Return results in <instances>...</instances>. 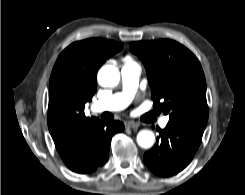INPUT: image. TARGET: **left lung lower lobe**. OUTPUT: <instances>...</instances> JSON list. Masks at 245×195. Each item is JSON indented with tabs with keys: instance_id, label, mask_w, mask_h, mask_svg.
Masks as SVG:
<instances>
[{
	"instance_id": "1",
	"label": "left lung lower lobe",
	"mask_w": 245,
	"mask_h": 195,
	"mask_svg": "<svg viewBox=\"0 0 245 195\" xmlns=\"http://www.w3.org/2000/svg\"><path fill=\"white\" fill-rule=\"evenodd\" d=\"M204 130L169 121L160 130L154 147L144 154L146 166L156 175L172 176L182 171L193 159Z\"/></svg>"
}]
</instances>
